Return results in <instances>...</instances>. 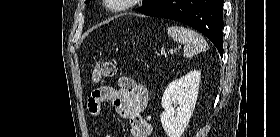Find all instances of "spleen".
<instances>
[{
	"label": "spleen",
	"instance_id": "obj_1",
	"mask_svg": "<svg viewBox=\"0 0 280 137\" xmlns=\"http://www.w3.org/2000/svg\"><path fill=\"white\" fill-rule=\"evenodd\" d=\"M167 34L172 39L184 45V57H191L202 51H206L208 44L205 39L192 29L183 26H171L167 28Z\"/></svg>",
	"mask_w": 280,
	"mask_h": 137
}]
</instances>
